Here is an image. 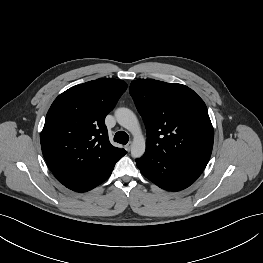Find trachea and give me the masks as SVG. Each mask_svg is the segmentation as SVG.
Listing matches in <instances>:
<instances>
[{
    "label": "trachea",
    "instance_id": "3493384b",
    "mask_svg": "<svg viewBox=\"0 0 263 263\" xmlns=\"http://www.w3.org/2000/svg\"><path fill=\"white\" fill-rule=\"evenodd\" d=\"M114 141L125 145L129 141V136L124 131H118L114 136Z\"/></svg>",
    "mask_w": 263,
    "mask_h": 263
}]
</instances>
